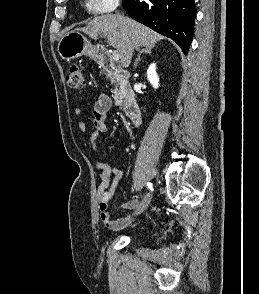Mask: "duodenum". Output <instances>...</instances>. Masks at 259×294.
Segmentation results:
<instances>
[{
  "label": "duodenum",
  "mask_w": 259,
  "mask_h": 294,
  "mask_svg": "<svg viewBox=\"0 0 259 294\" xmlns=\"http://www.w3.org/2000/svg\"><path fill=\"white\" fill-rule=\"evenodd\" d=\"M97 59L104 70L113 75L120 83L124 84L129 80V72L118 68L104 51L98 50ZM121 99L123 102V113L126 118L134 126H139L142 119L135 93L131 89H125L121 95Z\"/></svg>",
  "instance_id": "410a0bca"
}]
</instances>
